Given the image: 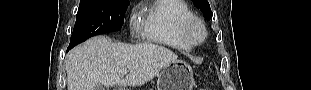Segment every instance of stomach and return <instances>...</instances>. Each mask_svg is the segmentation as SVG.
Wrapping results in <instances>:
<instances>
[{
	"mask_svg": "<svg viewBox=\"0 0 311 90\" xmlns=\"http://www.w3.org/2000/svg\"><path fill=\"white\" fill-rule=\"evenodd\" d=\"M194 84L191 66L182 60H176L161 70L157 90H192Z\"/></svg>",
	"mask_w": 311,
	"mask_h": 90,
	"instance_id": "obj_1",
	"label": "stomach"
}]
</instances>
